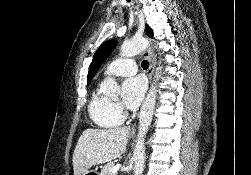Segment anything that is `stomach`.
I'll list each match as a JSON object with an SVG mask.
<instances>
[{"label": "stomach", "instance_id": "1", "mask_svg": "<svg viewBox=\"0 0 251 175\" xmlns=\"http://www.w3.org/2000/svg\"><path fill=\"white\" fill-rule=\"evenodd\" d=\"M83 175H99L97 169H87L86 173H83Z\"/></svg>", "mask_w": 251, "mask_h": 175}]
</instances>
